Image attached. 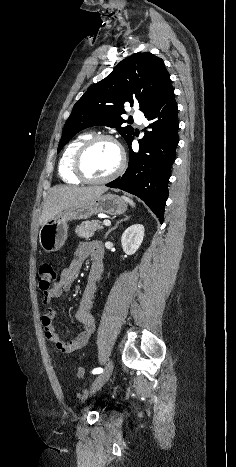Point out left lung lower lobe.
Returning a JSON list of instances; mask_svg holds the SVG:
<instances>
[{"label": "left lung lower lobe", "mask_w": 236, "mask_h": 467, "mask_svg": "<svg viewBox=\"0 0 236 467\" xmlns=\"http://www.w3.org/2000/svg\"><path fill=\"white\" fill-rule=\"evenodd\" d=\"M152 131L139 140V152L131 149L126 172L116 180L106 184L119 188L141 198L163 222L164 206L168 197L170 169L175 160L178 144V116L174 90L171 86L160 100L147 112Z\"/></svg>", "instance_id": "0a47b994"}]
</instances>
